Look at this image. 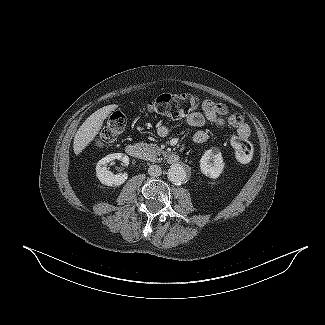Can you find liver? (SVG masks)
Returning <instances> with one entry per match:
<instances>
[{
	"label": "liver",
	"instance_id": "6515ba94",
	"mask_svg": "<svg viewBox=\"0 0 325 325\" xmlns=\"http://www.w3.org/2000/svg\"><path fill=\"white\" fill-rule=\"evenodd\" d=\"M118 105L104 106L91 114L80 126L74 136L73 150L79 155L92 142L103 126L104 120Z\"/></svg>",
	"mask_w": 325,
	"mask_h": 325
}]
</instances>
